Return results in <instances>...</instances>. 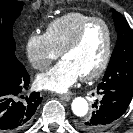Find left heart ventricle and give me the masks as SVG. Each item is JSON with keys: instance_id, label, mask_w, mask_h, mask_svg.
<instances>
[{"instance_id": "obj_1", "label": "left heart ventricle", "mask_w": 133, "mask_h": 133, "mask_svg": "<svg viewBox=\"0 0 133 133\" xmlns=\"http://www.w3.org/2000/svg\"><path fill=\"white\" fill-rule=\"evenodd\" d=\"M107 34L99 24H92L85 32L80 44L68 52L63 59L68 60L80 73L86 75L100 64L106 47Z\"/></svg>"}]
</instances>
